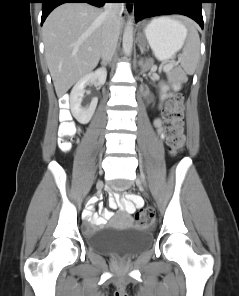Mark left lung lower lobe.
<instances>
[{
  "instance_id": "1",
  "label": "left lung lower lobe",
  "mask_w": 239,
  "mask_h": 296,
  "mask_svg": "<svg viewBox=\"0 0 239 296\" xmlns=\"http://www.w3.org/2000/svg\"><path fill=\"white\" fill-rule=\"evenodd\" d=\"M135 20L168 14H181L195 20L203 29L201 3L204 0H136Z\"/></svg>"
}]
</instances>
